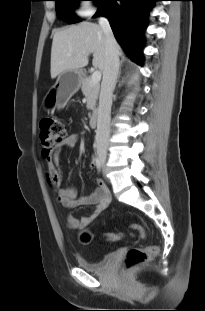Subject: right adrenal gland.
Instances as JSON below:
<instances>
[{"label":"right adrenal gland","instance_id":"1","mask_svg":"<svg viewBox=\"0 0 205 311\" xmlns=\"http://www.w3.org/2000/svg\"><path fill=\"white\" fill-rule=\"evenodd\" d=\"M118 77H120V72H119V74H118Z\"/></svg>","mask_w":205,"mask_h":311}]
</instances>
